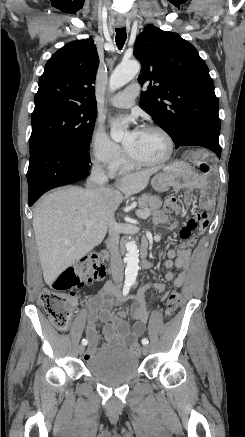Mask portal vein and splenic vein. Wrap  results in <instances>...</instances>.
Here are the masks:
<instances>
[{
    "instance_id": "1",
    "label": "portal vein and splenic vein",
    "mask_w": 245,
    "mask_h": 437,
    "mask_svg": "<svg viewBox=\"0 0 245 437\" xmlns=\"http://www.w3.org/2000/svg\"><path fill=\"white\" fill-rule=\"evenodd\" d=\"M137 215L140 216V217L146 218V217H148L150 215V211H149V209L145 208L143 213H137ZM93 223H94V221H90V220L84 221V224L87 227L91 226Z\"/></svg>"
}]
</instances>
